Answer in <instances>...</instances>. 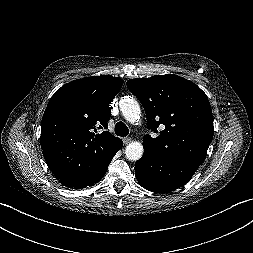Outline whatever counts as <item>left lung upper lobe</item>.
Listing matches in <instances>:
<instances>
[{
  "label": "left lung upper lobe",
  "mask_w": 253,
  "mask_h": 253,
  "mask_svg": "<svg viewBox=\"0 0 253 253\" xmlns=\"http://www.w3.org/2000/svg\"><path fill=\"white\" fill-rule=\"evenodd\" d=\"M128 89L143 105L148 129L158 137L144 136L143 145L162 162L202 164L212 141L213 116L206 94L193 82L177 75L130 79Z\"/></svg>",
  "instance_id": "5c2ea615"
}]
</instances>
